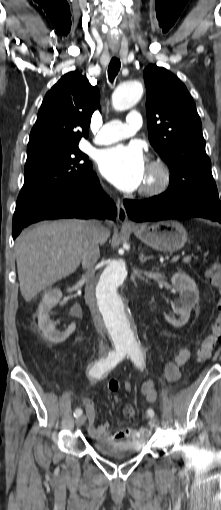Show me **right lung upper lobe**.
I'll use <instances>...</instances> for the list:
<instances>
[{"instance_id": "1", "label": "right lung upper lobe", "mask_w": 221, "mask_h": 510, "mask_svg": "<svg viewBox=\"0 0 221 510\" xmlns=\"http://www.w3.org/2000/svg\"><path fill=\"white\" fill-rule=\"evenodd\" d=\"M99 90L78 71L65 74L46 94L30 133L27 155L43 149L78 145L88 137Z\"/></svg>"}]
</instances>
